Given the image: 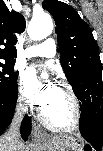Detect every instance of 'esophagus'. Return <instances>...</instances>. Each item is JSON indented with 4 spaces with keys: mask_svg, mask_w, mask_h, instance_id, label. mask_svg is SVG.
<instances>
[{
    "mask_svg": "<svg viewBox=\"0 0 103 151\" xmlns=\"http://www.w3.org/2000/svg\"><path fill=\"white\" fill-rule=\"evenodd\" d=\"M32 134L37 141H45L48 139V136L44 134L35 124H33Z\"/></svg>",
    "mask_w": 103,
    "mask_h": 151,
    "instance_id": "obj_1",
    "label": "esophagus"
}]
</instances>
